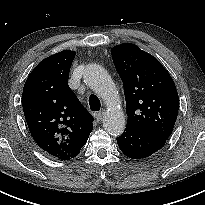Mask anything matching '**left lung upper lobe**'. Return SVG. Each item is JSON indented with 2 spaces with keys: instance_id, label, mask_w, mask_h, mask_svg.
<instances>
[{
  "instance_id": "left-lung-upper-lobe-1",
  "label": "left lung upper lobe",
  "mask_w": 205,
  "mask_h": 205,
  "mask_svg": "<svg viewBox=\"0 0 205 205\" xmlns=\"http://www.w3.org/2000/svg\"><path fill=\"white\" fill-rule=\"evenodd\" d=\"M126 99L127 127L168 139L179 110L175 84L163 65L134 44L112 48Z\"/></svg>"
}]
</instances>
